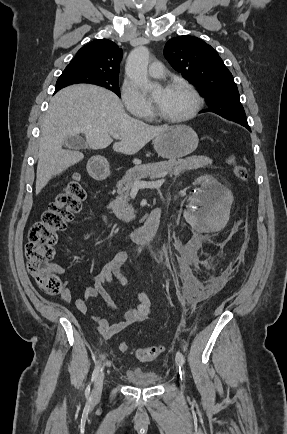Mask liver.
Returning <instances> with one entry per match:
<instances>
[{"instance_id": "liver-1", "label": "liver", "mask_w": 287, "mask_h": 434, "mask_svg": "<svg viewBox=\"0 0 287 434\" xmlns=\"http://www.w3.org/2000/svg\"><path fill=\"white\" fill-rule=\"evenodd\" d=\"M167 128L130 117L120 99L104 88L73 85L59 91L51 99L42 124L36 194L54 176L84 158L81 152L62 149L68 137L84 134L89 147L97 150L108 147L112 143L111 134L117 133L120 138L113 144L114 151L133 155Z\"/></svg>"}]
</instances>
